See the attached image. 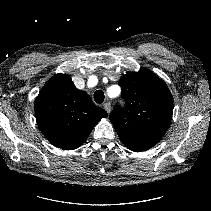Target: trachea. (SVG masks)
<instances>
[{"instance_id": "obj_1", "label": "trachea", "mask_w": 211, "mask_h": 211, "mask_svg": "<svg viewBox=\"0 0 211 211\" xmlns=\"http://www.w3.org/2000/svg\"><path fill=\"white\" fill-rule=\"evenodd\" d=\"M104 98H105V96H104L103 91H101V90L95 91V93H94V100H95L96 103H98V104L103 103Z\"/></svg>"}]
</instances>
